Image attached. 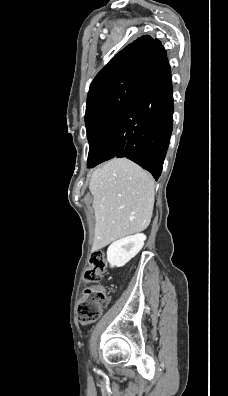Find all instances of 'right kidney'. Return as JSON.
<instances>
[{
	"label": "right kidney",
	"mask_w": 228,
	"mask_h": 396,
	"mask_svg": "<svg viewBox=\"0 0 228 396\" xmlns=\"http://www.w3.org/2000/svg\"><path fill=\"white\" fill-rule=\"evenodd\" d=\"M146 236L135 234L113 242L107 250V260L111 267H122L142 249Z\"/></svg>",
	"instance_id": "right-kidney-1"
}]
</instances>
